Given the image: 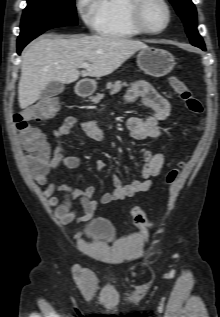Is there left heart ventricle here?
<instances>
[{
    "mask_svg": "<svg viewBox=\"0 0 220 317\" xmlns=\"http://www.w3.org/2000/svg\"><path fill=\"white\" fill-rule=\"evenodd\" d=\"M143 15L146 24L152 29H160L166 23V10L156 0H151L146 5Z\"/></svg>",
    "mask_w": 220,
    "mask_h": 317,
    "instance_id": "b2bd125f",
    "label": "left heart ventricle"
}]
</instances>
